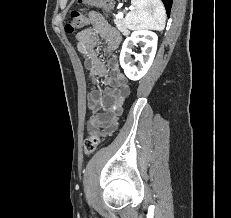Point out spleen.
I'll return each mask as SVG.
<instances>
[{"label": "spleen", "mask_w": 231, "mask_h": 218, "mask_svg": "<svg viewBox=\"0 0 231 218\" xmlns=\"http://www.w3.org/2000/svg\"><path fill=\"white\" fill-rule=\"evenodd\" d=\"M132 10L124 23L130 30L154 29L162 31L166 23V12L161 0H131Z\"/></svg>", "instance_id": "3e777b00"}]
</instances>
